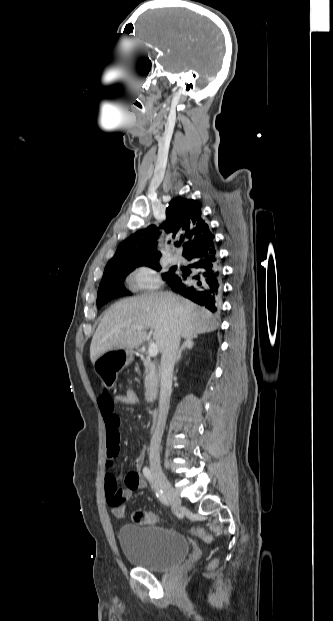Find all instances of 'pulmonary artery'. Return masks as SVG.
I'll return each instance as SVG.
<instances>
[{"mask_svg":"<svg viewBox=\"0 0 333 621\" xmlns=\"http://www.w3.org/2000/svg\"><path fill=\"white\" fill-rule=\"evenodd\" d=\"M170 261H171L172 263H179V262H180V257H179L178 255H176V254H173V255H171V257H170Z\"/></svg>","mask_w":333,"mask_h":621,"instance_id":"pulmonary-artery-1","label":"pulmonary artery"}]
</instances>
